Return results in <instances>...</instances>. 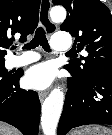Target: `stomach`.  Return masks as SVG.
<instances>
[{"label":"stomach","instance_id":"1","mask_svg":"<svg viewBox=\"0 0 112 135\" xmlns=\"http://www.w3.org/2000/svg\"><path fill=\"white\" fill-rule=\"evenodd\" d=\"M71 135H112V131L104 126L92 125L76 130Z\"/></svg>","mask_w":112,"mask_h":135}]
</instances>
